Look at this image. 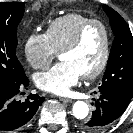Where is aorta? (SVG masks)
<instances>
[{"mask_svg": "<svg viewBox=\"0 0 133 133\" xmlns=\"http://www.w3.org/2000/svg\"><path fill=\"white\" fill-rule=\"evenodd\" d=\"M73 116L78 120H84L89 114V107L83 101H76L72 109Z\"/></svg>", "mask_w": 133, "mask_h": 133, "instance_id": "obj_1", "label": "aorta"}]
</instances>
